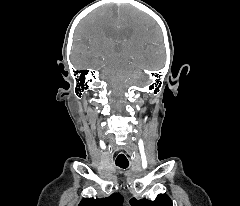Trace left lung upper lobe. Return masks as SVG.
Wrapping results in <instances>:
<instances>
[{
    "mask_svg": "<svg viewBox=\"0 0 240 206\" xmlns=\"http://www.w3.org/2000/svg\"><path fill=\"white\" fill-rule=\"evenodd\" d=\"M130 203L132 206H173L171 199L166 194H159L154 201L133 198Z\"/></svg>",
    "mask_w": 240,
    "mask_h": 206,
    "instance_id": "left-lung-upper-lobe-1",
    "label": "left lung upper lobe"
}]
</instances>
